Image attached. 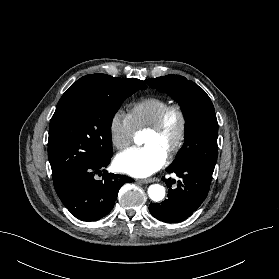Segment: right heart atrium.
Returning <instances> with one entry per match:
<instances>
[{
  "label": "right heart atrium",
  "instance_id": "d8ad5b80",
  "mask_svg": "<svg viewBox=\"0 0 279 279\" xmlns=\"http://www.w3.org/2000/svg\"><path fill=\"white\" fill-rule=\"evenodd\" d=\"M109 134L114 147L123 150L133 142L136 128L128 114L116 111L109 121Z\"/></svg>",
  "mask_w": 279,
  "mask_h": 279
}]
</instances>
